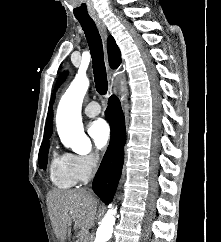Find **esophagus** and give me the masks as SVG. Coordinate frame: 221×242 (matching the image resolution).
<instances>
[{"mask_svg":"<svg viewBox=\"0 0 221 242\" xmlns=\"http://www.w3.org/2000/svg\"><path fill=\"white\" fill-rule=\"evenodd\" d=\"M94 21L96 22V25H97L98 29L100 30V32L103 36V39L106 40L107 30H106L104 23L99 18H94ZM107 68H108L109 79H111V72H110V68L108 66V62H107ZM111 93H112V86H110V88H109V95H111Z\"/></svg>","mask_w":221,"mask_h":242,"instance_id":"1","label":"esophagus"}]
</instances>
